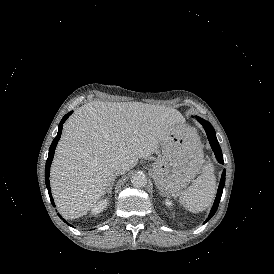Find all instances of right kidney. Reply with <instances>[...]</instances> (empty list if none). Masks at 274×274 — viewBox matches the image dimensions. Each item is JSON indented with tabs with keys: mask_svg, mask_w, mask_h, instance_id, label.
I'll use <instances>...</instances> for the list:
<instances>
[{
	"mask_svg": "<svg viewBox=\"0 0 274 274\" xmlns=\"http://www.w3.org/2000/svg\"><path fill=\"white\" fill-rule=\"evenodd\" d=\"M106 207V202L105 201H100L98 205L93 207V213L94 214H99L101 210H103Z\"/></svg>",
	"mask_w": 274,
	"mask_h": 274,
	"instance_id": "ca27d5eb",
	"label": "right kidney"
}]
</instances>
